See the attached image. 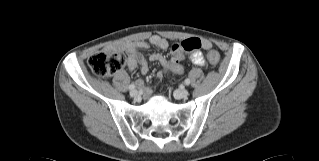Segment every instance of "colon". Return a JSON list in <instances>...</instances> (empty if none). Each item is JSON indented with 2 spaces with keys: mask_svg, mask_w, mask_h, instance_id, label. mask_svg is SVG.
<instances>
[{
  "mask_svg": "<svg viewBox=\"0 0 319 161\" xmlns=\"http://www.w3.org/2000/svg\"><path fill=\"white\" fill-rule=\"evenodd\" d=\"M201 48V41L198 38H188L176 43L172 47L171 60L178 64L183 60L184 53L197 51ZM209 61L217 64L220 55L217 51H210ZM126 58L121 52H100L92 55L88 64L90 69L98 76H110L121 71L125 65Z\"/></svg>",
  "mask_w": 319,
  "mask_h": 161,
  "instance_id": "5ec220e1",
  "label": "colon"
}]
</instances>
